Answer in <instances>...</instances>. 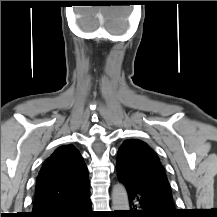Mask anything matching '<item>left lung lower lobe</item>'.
Returning a JSON list of instances; mask_svg holds the SVG:
<instances>
[{
  "instance_id": "1",
  "label": "left lung lower lobe",
  "mask_w": 217,
  "mask_h": 217,
  "mask_svg": "<svg viewBox=\"0 0 217 217\" xmlns=\"http://www.w3.org/2000/svg\"><path fill=\"white\" fill-rule=\"evenodd\" d=\"M125 187L130 202L136 207L135 210L126 213L128 217H176L178 215V211L174 209L173 200L160 194Z\"/></svg>"
}]
</instances>
